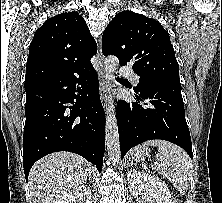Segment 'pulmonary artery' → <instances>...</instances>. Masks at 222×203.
<instances>
[{
    "label": "pulmonary artery",
    "instance_id": "e3ab8cb5",
    "mask_svg": "<svg viewBox=\"0 0 222 203\" xmlns=\"http://www.w3.org/2000/svg\"><path fill=\"white\" fill-rule=\"evenodd\" d=\"M120 74L124 77H129L133 79L134 82L138 81V76L135 74V72L129 68V67H122L120 68Z\"/></svg>",
    "mask_w": 222,
    "mask_h": 203
}]
</instances>
